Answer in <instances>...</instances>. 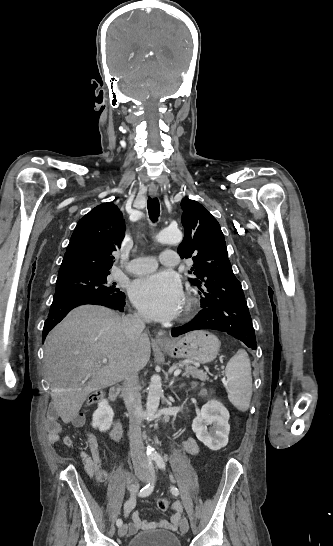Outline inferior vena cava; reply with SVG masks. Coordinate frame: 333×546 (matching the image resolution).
I'll use <instances>...</instances> for the list:
<instances>
[{"label": "inferior vena cava", "mask_w": 333, "mask_h": 546, "mask_svg": "<svg viewBox=\"0 0 333 546\" xmlns=\"http://www.w3.org/2000/svg\"><path fill=\"white\" fill-rule=\"evenodd\" d=\"M145 322L146 320L139 313L124 317L122 319V328L125 336L130 340H137L143 335L142 332L145 329ZM122 396L130 419L129 443L132 462L135 469L140 467L146 468L147 461L141 435L143 410L138 371L132 370L126 376L123 382Z\"/></svg>", "instance_id": "602c4592"}]
</instances>
